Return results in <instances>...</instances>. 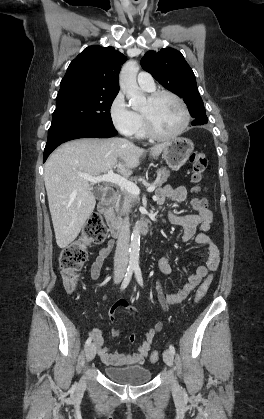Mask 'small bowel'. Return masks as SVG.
Wrapping results in <instances>:
<instances>
[{
	"instance_id": "small-bowel-1",
	"label": "small bowel",
	"mask_w": 264,
	"mask_h": 419,
	"mask_svg": "<svg viewBox=\"0 0 264 419\" xmlns=\"http://www.w3.org/2000/svg\"><path fill=\"white\" fill-rule=\"evenodd\" d=\"M187 195L188 189L186 186L173 188L167 185L158 190L156 194V202L162 205L166 202V200L170 199L173 202L180 203L185 201ZM168 219L171 224L182 227V239L184 242L194 238L197 244L206 246L207 252L205 264L197 267L194 273L187 275L186 283L183 284L177 292L165 294L161 284L157 282V297L161 306L165 310H167L170 306L179 304L185 300L188 295L201 283L204 277H206L210 272L216 270L220 260V253L217 246L207 235L213 219L210 209L205 208L197 214L189 215L169 213ZM113 247L114 242L109 241L100 249L90 268L92 279L96 280L100 277L104 261L109 256ZM159 269L165 275L172 273L171 265L166 257L159 260ZM120 308H128V303L124 300H120L110 308L109 319L111 321H114L115 315ZM162 327L163 323L159 322L153 328H149L145 332L144 338L139 344L135 354H119L111 352L105 345L102 331L99 328H94L90 332V337L93 339L96 351L104 364L112 367L135 366L142 365L145 362L151 349L153 339ZM112 335L120 336L121 332L117 329H112ZM126 338L129 343H133L135 341V334H130Z\"/></svg>"
}]
</instances>
